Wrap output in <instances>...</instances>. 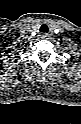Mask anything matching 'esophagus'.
I'll return each instance as SVG.
<instances>
[{
    "mask_svg": "<svg viewBox=\"0 0 81 124\" xmlns=\"http://www.w3.org/2000/svg\"><path fill=\"white\" fill-rule=\"evenodd\" d=\"M41 38H42V39H47V38H49V34H47V33H42V34H41Z\"/></svg>",
    "mask_w": 81,
    "mask_h": 124,
    "instance_id": "34e87169",
    "label": "esophagus"
}]
</instances>
